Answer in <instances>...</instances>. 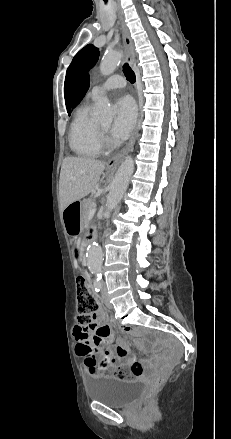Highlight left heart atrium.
I'll return each mask as SVG.
<instances>
[{
    "mask_svg": "<svg viewBox=\"0 0 231 439\" xmlns=\"http://www.w3.org/2000/svg\"><path fill=\"white\" fill-rule=\"evenodd\" d=\"M136 121V108L128 97L120 98L115 105V118L111 135L116 141L125 140L131 133Z\"/></svg>",
    "mask_w": 231,
    "mask_h": 439,
    "instance_id": "obj_1",
    "label": "left heart atrium"
}]
</instances>
